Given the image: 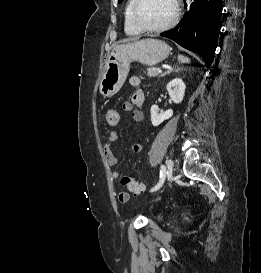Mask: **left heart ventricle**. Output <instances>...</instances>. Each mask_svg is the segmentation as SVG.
Wrapping results in <instances>:
<instances>
[{
  "label": "left heart ventricle",
  "mask_w": 261,
  "mask_h": 273,
  "mask_svg": "<svg viewBox=\"0 0 261 273\" xmlns=\"http://www.w3.org/2000/svg\"><path fill=\"white\" fill-rule=\"evenodd\" d=\"M174 14L172 0H140L136 21L144 27H158L168 23Z\"/></svg>",
  "instance_id": "1"
}]
</instances>
